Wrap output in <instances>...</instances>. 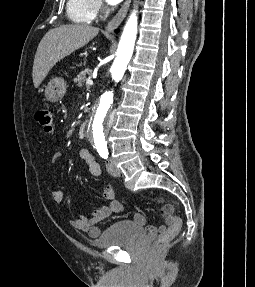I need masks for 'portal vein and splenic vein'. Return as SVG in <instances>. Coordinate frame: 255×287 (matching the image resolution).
I'll list each match as a JSON object with an SVG mask.
<instances>
[{
	"mask_svg": "<svg viewBox=\"0 0 255 287\" xmlns=\"http://www.w3.org/2000/svg\"><path fill=\"white\" fill-rule=\"evenodd\" d=\"M86 86H87V88H88V86H93L92 80H86Z\"/></svg>",
	"mask_w": 255,
	"mask_h": 287,
	"instance_id": "18ae733b",
	"label": "portal vein and splenic vein"
}]
</instances>
